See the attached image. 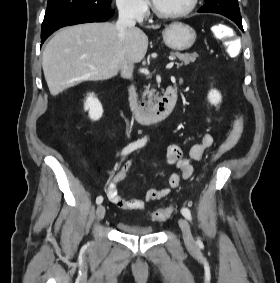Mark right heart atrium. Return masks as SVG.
<instances>
[{"label":"right heart atrium","instance_id":"obj_1","mask_svg":"<svg viewBox=\"0 0 280 283\" xmlns=\"http://www.w3.org/2000/svg\"><path fill=\"white\" fill-rule=\"evenodd\" d=\"M119 11L127 16L140 20L149 11L147 0H116Z\"/></svg>","mask_w":280,"mask_h":283}]
</instances>
